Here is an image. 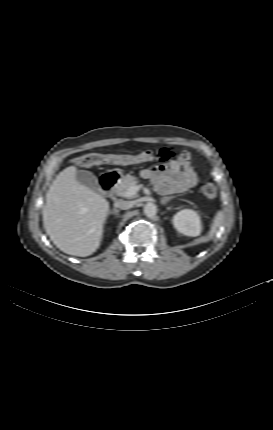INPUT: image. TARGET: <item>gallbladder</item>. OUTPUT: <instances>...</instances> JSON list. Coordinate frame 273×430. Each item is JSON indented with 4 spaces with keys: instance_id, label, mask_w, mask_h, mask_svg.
<instances>
[{
    "instance_id": "1",
    "label": "gallbladder",
    "mask_w": 273,
    "mask_h": 430,
    "mask_svg": "<svg viewBox=\"0 0 273 430\" xmlns=\"http://www.w3.org/2000/svg\"><path fill=\"white\" fill-rule=\"evenodd\" d=\"M76 180L82 185L90 188L94 192L100 193L102 191L98 179L93 173L86 170H78L76 172Z\"/></svg>"
}]
</instances>
